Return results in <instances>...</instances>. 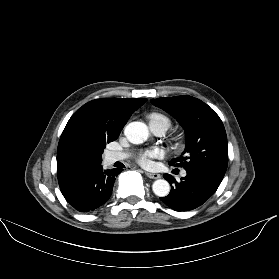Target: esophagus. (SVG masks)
<instances>
[{
	"instance_id": "obj_1",
	"label": "esophagus",
	"mask_w": 279,
	"mask_h": 279,
	"mask_svg": "<svg viewBox=\"0 0 279 279\" xmlns=\"http://www.w3.org/2000/svg\"><path fill=\"white\" fill-rule=\"evenodd\" d=\"M145 174L147 177H149L151 179H158L161 177V175L158 173L145 172Z\"/></svg>"
}]
</instances>
